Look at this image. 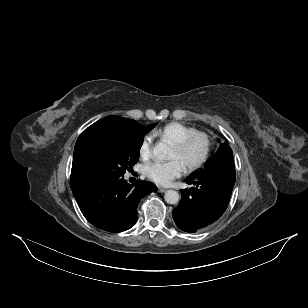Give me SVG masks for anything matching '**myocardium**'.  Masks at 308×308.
I'll return each instance as SVG.
<instances>
[{
    "label": "myocardium",
    "instance_id": "obj_1",
    "mask_svg": "<svg viewBox=\"0 0 308 308\" xmlns=\"http://www.w3.org/2000/svg\"><path fill=\"white\" fill-rule=\"evenodd\" d=\"M198 138H200L204 141L205 147H204V151H203L202 155L200 156V158L197 161H195L194 163L186 166V169L190 172L196 171V170L202 168L207 163V161L209 160V158L211 156L212 148H213V142H212L211 136L208 133L203 132V131H195V132L187 135L186 137H184L179 142L173 144V147L178 152H183L190 146V144L194 140H196Z\"/></svg>",
    "mask_w": 308,
    "mask_h": 308
}]
</instances>
